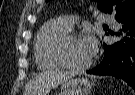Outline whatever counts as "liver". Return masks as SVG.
I'll return each instance as SVG.
<instances>
[{"label":"liver","instance_id":"liver-1","mask_svg":"<svg viewBox=\"0 0 135 95\" xmlns=\"http://www.w3.org/2000/svg\"><path fill=\"white\" fill-rule=\"evenodd\" d=\"M75 76L74 72L50 70L38 74L25 88L24 95H46L52 88Z\"/></svg>","mask_w":135,"mask_h":95}]
</instances>
